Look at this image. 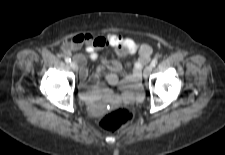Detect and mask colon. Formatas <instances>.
Here are the masks:
<instances>
[{
  "mask_svg": "<svg viewBox=\"0 0 225 155\" xmlns=\"http://www.w3.org/2000/svg\"><path fill=\"white\" fill-rule=\"evenodd\" d=\"M135 117V113L131 108L119 107L99 120V126L102 130L114 132L128 124H130Z\"/></svg>",
  "mask_w": 225,
  "mask_h": 155,
  "instance_id": "colon-1",
  "label": "colon"
}]
</instances>
